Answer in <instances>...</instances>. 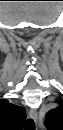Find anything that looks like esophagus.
I'll return each instance as SVG.
<instances>
[{
    "label": "esophagus",
    "instance_id": "34e87169",
    "mask_svg": "<svg viewBox=\"0 0 63 130\" xmlns=\"http://www.w3.org/2000/svg\"><path fill=\"white\" fill-rule=\"evenodd\" d=\"M29 115H30V117H31L34 121H37L38 113H37V110H36V109L31 108V109H30V112H29Z\"/></svg>",
    "mask_w": 63,
    "mask_h": 130
}]
</instances>
